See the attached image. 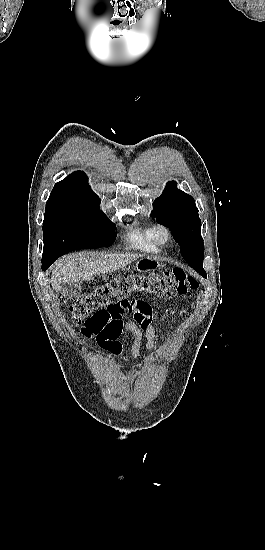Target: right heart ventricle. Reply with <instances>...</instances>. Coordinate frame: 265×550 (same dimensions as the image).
<instances>
[{"label":"right heart ventricle","instance_id":"1","mask_svg":"<svg viewBox=\"0 0 265 550\" xmlns=\"http://www.w3.org/2000/svg\"><path fill=\"white\" fill-rule=\"evenodd\" d=\"M128 245L145 252H157L158 247L153 237V226L142 224L132 228L126 235Z\"/></svg>","mask_w":265,"mask_h":550}]
</instances>
